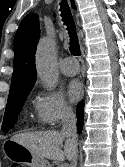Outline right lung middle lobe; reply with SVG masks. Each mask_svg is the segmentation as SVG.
<instances>
[{
    "instance_id": "right-lung-middle-lobe-1",
    "label": "right lung middle lobe",
    "mask_w": 125,
    "mask_h": 167,
    "mask_svg": "<svg viewBox=\"0 0 125 167\" xmlns=\"http://www.w3.org/2000/svg\"><path fill=\"white\" fill-rule=\"evenodd\" d=\"M31 90L23 91L21 93L11 95L8 97L5 115L2 124V130L7 132L12 129L17 122V116L19 115L23 104Z\"/></svg>"
}]
</instances>
